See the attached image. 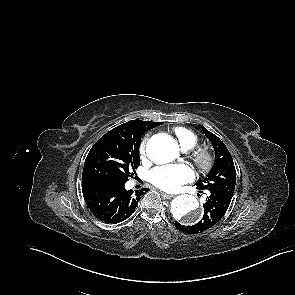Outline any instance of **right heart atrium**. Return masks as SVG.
I'll list each match as a JSON object with an SVG mask.
<instances>
[{
	"mask_svg": "<svg viewBox=\"0 0 295 295\" xmlns=\"http://www.w3.org/2000/svg\"><path fill=\"white\" fill-rule=\"evenodd\" d=\"M146 147H147V139H144L143 142L141 143L140 149H139L140 155L142 158H144L147 154Z\"/></svg>",
	"mask_w": 295,
	"mask_h": 295,
	"instance_id": "1",
	"label": "right heart atrium"
}]
</instances>
